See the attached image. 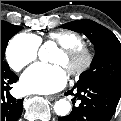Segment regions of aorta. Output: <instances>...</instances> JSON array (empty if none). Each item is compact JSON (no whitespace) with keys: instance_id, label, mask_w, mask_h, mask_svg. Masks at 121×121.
Here are the masks:
<instances>
[{"instance_id":"1","label":"aorta","mask_w":121,"mask_h":121,"mask_svg":"<svg viewBox=\"0 0 121 121\" xmlns=\"http://www.w3.org/2000/svg\"><path fill=\"white\" fill-rule=\"evenodd\" d=\"M55 48L53 43H46L39 50V58L42 61H47L49 52ZM71 109L70 102L66 99H60L54 104V111L59 116H66L69 114Z\"/></svg>"}]
</instances>
